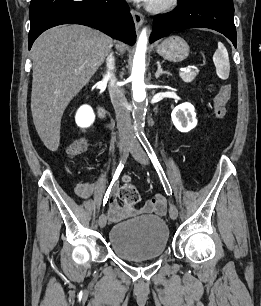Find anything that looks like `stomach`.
<instances>
[{"label": "stomach", "mask_w": 261, "mask_h": 306, "mask_svg": "<svg viewBox=\"0 0 261 306\" xmlns=\"http://www.w3.org/2000/svg\"><path fill=\"white\" fill-rule=\"evenodd\" d=\"M157 53L166 60L180 62L188 57L189 45L183 38L172 35L157 46Z\"/></svg>", "instance_id": "obj_1"}]
</instances>
